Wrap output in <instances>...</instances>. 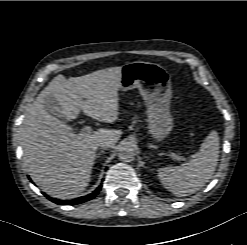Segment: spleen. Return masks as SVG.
Here are the masks:
<instances>
[{"label": "spleen", "instance_id": "1", "mask_svg": "<svg viewBox=\"0 0 247 245\" xmlns=\"http://www.w3.org/2000/svg\"><path fill=\"white\" fill-rule=\"evenodd\" d=\"M219 159V137L210 132L188 163L159 169L162 185L178 197L188 196L200 190L212 178Z\"/></svg>", "mask_w": 247, "mask_h": 245}]
</instances>
